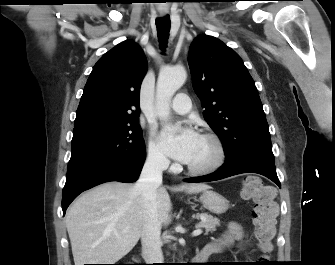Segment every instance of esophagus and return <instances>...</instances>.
I'll use <instances>...</instances> for the list:
<instances>
[{
    "instance_id": "1",
    "label": "esophagus",
    "mask_w": 335,
    "mask_h": 265,
    "mask_svg": "<svg viewBox=\"0 0 335 265\" xmlns=\"http://www.w3.org/2000/svg\"><path fill=\"white\" fill-rule=\"evenodd\" d=\"M166 15V13H161V16H165Z\"/></svg>"
}]
</instances>
